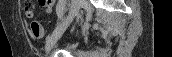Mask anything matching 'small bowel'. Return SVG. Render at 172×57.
<instances>
[{
    "label": "small bowel",
    "mask_w": 172,
    "mask_h": 57,
    "mask_svg": "<svg viewBox=\"0 0 172 57\" xmlns=\"http://www.w3.org/2000/svg\"><path fill=\"white\" fill-rule=\"evenodd\" d=\"M39 3H40V5L43 7L44 12H45L46 15L51 14L52 8H53V6H54V4H55V1H54V0H39ZM27 4H28V3H27ZM27 4L25 5V8H26ZM25 8H24V9H25ZM25 14H26L27 17H32L33 14H34V9H33L32 12H26V11H25ZM42 36H43V35H42Z\"/></svg>",
    "instance_id": "small-bowel-1"
}]
</instances>
